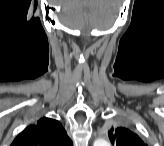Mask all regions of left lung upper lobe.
<instances>
[{
  "mask_svg": "<svg viewBox=\"0 0 164 146\" xmlns=\"http://www.w3.org/2000/svg\"><path fill=\"white\" fill-rule=\"evenodd\" d=\"M108 135L115 146H145L137 134L124 127L111 129Z\"/></svg>",
  "mask_w": 164,
  "mask_h": 146,
  "instance_id": "obj_1",
  "label": "left lung upper lobe"
}]
</instances>
